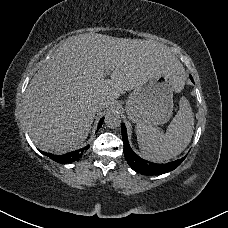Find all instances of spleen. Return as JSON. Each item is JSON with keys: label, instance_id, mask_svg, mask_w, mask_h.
<instances>
[{"label": "spleen", "instance_id": "obj_1", "mask_svg": "<svg viewBox=\"0 0 228 228\" xmlns=\"http://www.w3.org/2000/svg\"><path fill=\"white\" fill-rule=\"evenodd\" d=\"M180 107L165 133H158L144 123L136 125L137 141L144 158L156 162L167 161L188 146L193 134L194 115L187 100L182 99Z\"/></svg>", "mask_w": 228, "mask_h": 228}]
</instances>
